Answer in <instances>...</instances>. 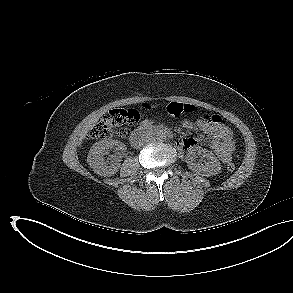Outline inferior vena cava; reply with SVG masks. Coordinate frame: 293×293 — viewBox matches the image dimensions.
Segmentation results:
<instances>
[{"label": "inferior vena cava", "mask_w": 293, "mask_h": 293, "mask_svg": "<svg viewBox=\"0 0 293 293\" xmlns=\"http://www.w3.org/2000/svg\"><path fill=\"white\" fill-rule=\"evenodd\" d=\"M151 140V138H146V139H144L143 141H142V143H147V142H149Z\"/></svg>", "instance_id": "inferior-vena-cava-1"}]
</instances>
